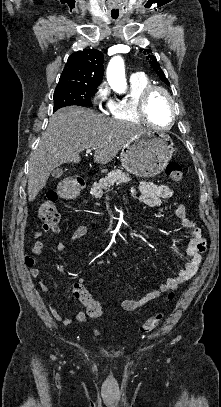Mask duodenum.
<instances>
[{
	"mask_svg": "<svg viewBox=\"0 0 221 407\" xmlns=\"http://www.w3.org/2000/svg\"><path fill=\"white\" fill-rule=\"evenodd\" d=\"M85 186V183H76L73 185H68L60 189L62 196L64 198H70L75 190L82 189Z\"/></svg>",
	"mask_w": 221,
	"mask_h": 407,
	"instance_id": "1",
	"label": "duodenum"
}]
</instances>
